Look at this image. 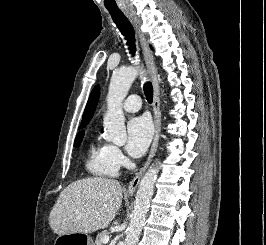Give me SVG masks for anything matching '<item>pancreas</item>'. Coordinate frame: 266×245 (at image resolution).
<instances>
[{
	"mask_svg": "<svg viewBox=\"0 0 266 245\" xmlns=\"http://www.w3.org/2000/svg\"><path fill=\"white\" fill-rule=\"evenodd\" d=\"M108 235H110V233H108V231H102V233H99V235H97V237L95 239L94 245H104L102 239H103V237H108Z\"/></svg>",
	"mask_w": 266,
	"mask_h": 245,
	"instance_id": "obj_1",
	"label": "pancreas"
}]
</instances>
